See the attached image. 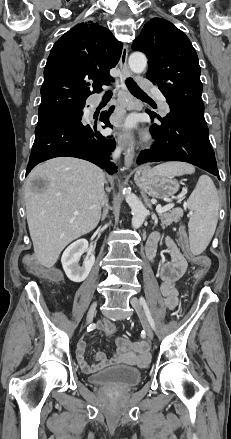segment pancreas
<instances>
[{"instance_id": "1", "label": "pancreas", "mask_w": 231, "mask_h": 439, "mask_svg": "<svg viewBox=\"0 0 231 439\" xmlns=\"http://www.w3.org/2000/svg\"><path fill=\"white\" fill-rule=\"evenodd\" d=\"M182 217V211L180 209H173L170 212H164L159 214V218L161 220V226L164 228L165 226L171 225L173 222L177 223L180 221Z\"/></svg>"}]
</instances>
